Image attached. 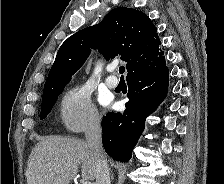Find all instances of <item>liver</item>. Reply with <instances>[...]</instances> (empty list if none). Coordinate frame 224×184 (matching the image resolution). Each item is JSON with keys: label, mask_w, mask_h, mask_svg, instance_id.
Segmentation results:
<instances>
[{"label": "liver", "mask_w": 224, "mask_h": 184, "mask_svg": "<svg viewBox=\"0 0 224 184\" xmlns=\"http://www.w3.org/2000/svg\"><path fill=\"white\" fill-rule=\"evenodd\" d=\"M81 165L82 179L96 178V159L87 142L47 136L33 148L26 169L27 184H69Z\"/></svg>", "instance_id": "6515ba94"}]
</instances>
